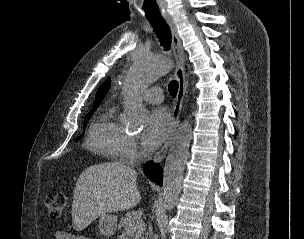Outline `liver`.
I'll return each mask as SVG.
<instances>
[{
    "label": "liver",
    "instance_id": "1",
    "mask_svg": "<svg viewBox=\"0 0 304 239\" xmlns=\"http://www.w3.org/2000/svg\"><path fill=\"white\" fill-rule=\"evenodd\" d=\"M137 172L119 162L86 168L73 194L72 218L76 231L85 229L99 216L133 208L141 197L136 186Z\"/></svg>",
    "mask_w": 304,
    "mask_h": 239
}]
</instances>
